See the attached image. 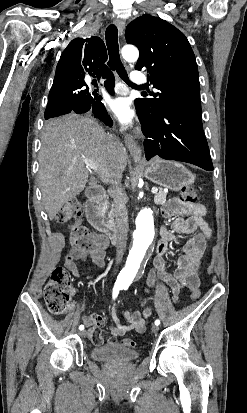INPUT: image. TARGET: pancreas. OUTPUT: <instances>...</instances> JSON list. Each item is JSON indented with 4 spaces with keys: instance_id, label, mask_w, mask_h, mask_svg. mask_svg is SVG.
I'll list each match as a JSON object with an SVG mask.
<instances>
[{
    "instance_id": "1",
    "label": "pancreas",
    "mask_w": 247,
    "mask_h": 413,
    "mask_svg": "<svg viewBox=\"0 0 247 413\" xmlns=\"http://www.w3.org/2000/svg\"><path fill=\"white\" fill-rule=\"evenodd\" d=\"M166 196H167V192H164V190H159V192H156L155 196H154V202L155 204H164V202H166ZM115 213H114V209H112V211H109L108 213V217H114Z\"/></svg>"
}]
</instances>
